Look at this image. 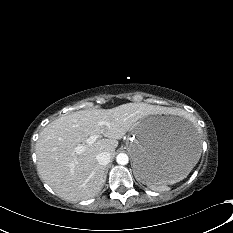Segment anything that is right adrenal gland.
<instances>
[{
    "instance_id": "obj_1",
    "label": "right adrenal gland",
    "mask_w": 233,
    "mask_h": 233,
    "mask_svg": "<svg viewBox=\"0 0 233 233\" xmlns=\"http://www.w3.org/2000/svg\"><path fill=\"white\" fill-rule=\"evenodd\" d=\"M105 179H106V175L104 176V181H105Z\"/></svg>"
}]
</instances>
